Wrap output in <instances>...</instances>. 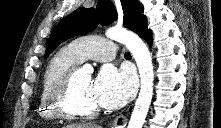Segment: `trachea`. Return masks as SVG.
<instances>
[{
	"label": "trachea",
	"mask_w": 221,
	"mask_h": 128,
	"mask_svg": "<svg viewBox=\"0 0 221 128\" xmlns=\"http://www.w3.org/2000/svg\"><path fill=\"white\" fill-rule=\"evenodd\" d=\"M124 56H125V57H130L131 55H130L129 52H126Z\"/></svg>",
	"instance_id": "obj_1"
}]
</instances>
